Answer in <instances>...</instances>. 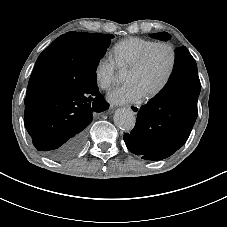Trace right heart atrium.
<instances>
[{
    "label": "right heart atrium",
    "mask_w": 227,
    "mask_h": 227,
    "mask_svg": "<svg viewBox=\"0 0 227 227\" xmlns=\"http://www.w3.org/2000/svg\"><path fill=\"white\" fill-rule=\"evenodd\" d=\"M116 76V64L109 56L101 57L94 68V79L97 87L102 91L112 88Z\"/></svg>",
    "instance_id": "right-heart-atrium-1"
}]
</instances>
